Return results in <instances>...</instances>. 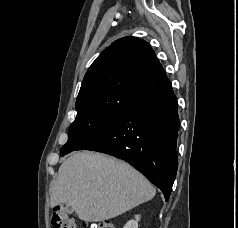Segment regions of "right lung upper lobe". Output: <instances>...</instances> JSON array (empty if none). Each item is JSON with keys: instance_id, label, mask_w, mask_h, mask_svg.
<instances>
[{"instance_id": "1", "label": "right lung upper lobe", "mask_w": 238, "mask_h": 228, "mask_svg": "<svg viewBox=\"0 0 238 228\" xmlns=\"http://www.w3.org/2000/svg\"><path fill=\"white\" fill-rule=\"evenodd\" d=\"M172 87L150 45L136 37L112 43L86 72L76 101L77 112L128 110Z\"/></svg>"}]
</instances>
